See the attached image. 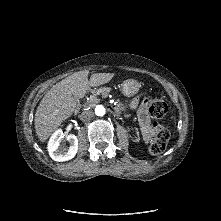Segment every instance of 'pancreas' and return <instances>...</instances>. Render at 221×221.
Returning a JSON list of instances; mask_svg holds the SVG:
<instances>
[{"mask_svg":"<svg viewBox=\"0 0 221 221\" xmlns=\"http://www.w3.org/2000/svg\"><path fill=\"white\" fill-rule=\"evenodd\" d=\"M109 94V91L107 89H104L103 91L98 90L94 91L92 93V97L88 99L89 106H93L94 103L100 104L102 102V99L100 98L102 95L107 96Z\"/></svg>","mask_w":221,"mask_h":221,"instance_id":"pancreas-1","label":"pancreas"}]
</instances>
